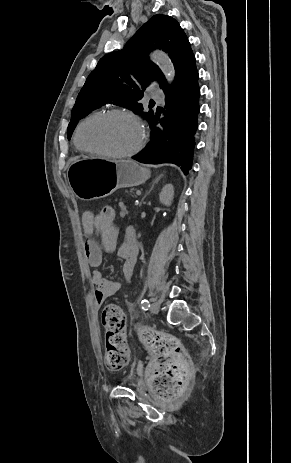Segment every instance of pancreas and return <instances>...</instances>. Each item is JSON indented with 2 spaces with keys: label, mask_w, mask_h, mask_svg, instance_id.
<instances>
[{
  "label": "pancreas",
  "mask_w": 291,
  "mask_h": 463,
  "mask_svg": "<svg viewBox=\"0 0 291 463\" xmlns=\"http://www.w3.org/2000/svg\"><path fill=\"white\" fill-rule=\"evenodd\" d=\"M125 195H126L127 197H133V198L136 197V195H135V189L132 188V189H130V190H126V191H125Z\"/></svg>",
  "instance_id": "cf45deb5"
}]
</instances>
